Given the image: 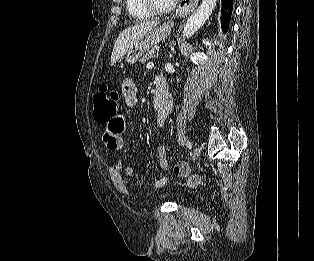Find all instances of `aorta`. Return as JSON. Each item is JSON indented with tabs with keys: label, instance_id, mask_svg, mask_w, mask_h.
<instances>
[{
	"label": "aorta",
	"instance_id": "1",
	"mask_svg": "<svg viewBox=\"0 0 314 261\" xmlns=\"http://www.w3.org/2000/svg\"><path fill=\"white\" fill-rule=\"evenodd\" d=\"M216 2L217 0H202L198 9L189 17L184 26L182 32L184 40L193 36L203 26L214 10Z\"/></svg>",
	"mask_w": 314,
	"mask_h": 261
}]
</instances>
